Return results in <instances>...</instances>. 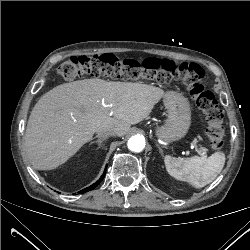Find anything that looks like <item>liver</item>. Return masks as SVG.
I'll return each instance as SVG.
<instances>
[{"label":"liver","mask_w":250,"mask_h":250,"mask_svg":"<svg viewBox=\"0 0 250 250\" xmlns=\"http://www.w3.org/2000/svg\"><path fill=\"white\" fill-rule=\"evenodd\" d=\"M164 95L155 86L102 79L56 86L31 111L25 133L28 159L35 169H55L99 130L113 129L124 136Z\"/></svg>","instance_id":"1"}]
</instances>
